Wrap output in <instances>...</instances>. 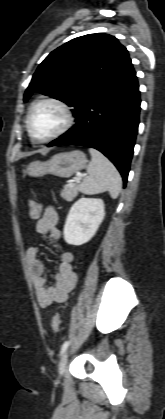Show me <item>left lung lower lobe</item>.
Masks as SVG:
<instances>
[{"mask_svg":"<svg viewBox=\"0 0 165 419\" xmlns=\"http://www.w3.org/2000/svg\"><path fill=\"white\" fill-rule=\"evenodd\" d=\"M140 92L131 61L78 110L76 125L48 144H74L102 152L117 167L124 185L130 170L140 112Z\"/></svg>","mask_w":165,"mask_h":419,"instance_id":"obj_1","label":"left lung lower lobe"}]
</instances>
